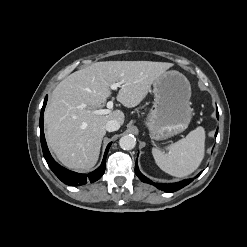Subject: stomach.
Instances as JSON below:
<instances>
[{"label":"stomach","instance_id":"0dacf381","mask_svg":"<svg viewBox=\"0 0 247 247\" xmlns=\"http://www.w3.org/2000/svg\"><path fill=\"white\" fill-rule=\"evenodd\" d=\"M154 103L146 126L154 140H164L187 129L191 118V86L175 70L165 71L153 83Z\"/></svg>","mask_w":247,"mask_h":247}]
</instances>
